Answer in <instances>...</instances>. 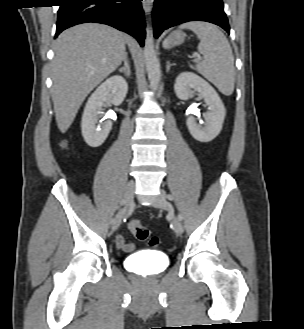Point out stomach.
<instances>
[{
  "label": "stomach",
  "mask_w": 304,
  "mask_h": 329,
  "mask_svg": "<svg viewBox=\"0 0 304 329\" xmlns=\"http://www.w3.org/2000/svg\"><path fill=\"white\" fill-rule=\"evenodd\" d=\"M168 39H169V45L172 46L180 45L185 40V34L181 31H174L169 35Z\"/></svg>",
  "instance_id": "obj_1"
}]
</instances>
